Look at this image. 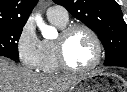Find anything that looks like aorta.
<instances>
[{
    "label": "aorta",
    "instance_id": "obj_1",
    "mask_svg": "<svg viewBox=\"0 0 127 92\" xmlns=\"http://www.w3.org/2000/svg\"><path fill=\"white\" fill-rule=\"evenodd\" d=\"M35 20H36L37 26H38L39 29L41 30L42 35H43L44 37H48L49 34H50L52 31H54V28L51 27V26L46 25V24L43 22V20H42V18H41L40 16H37V17L35 18Z\"/></svg>",
    "mask_w": 127,
    "mask_h": 92
}]
</instances>
